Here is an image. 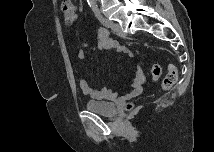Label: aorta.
Returning <instances> with one entry per match:
<instances>
[{
	"label": "aorta",
	"mask_w": 215,
	"mask_h": 152,
	"mask_svg": "<svg viewBox=\"0 0 215 152\" xmlns=\"http://www.w3.org/2000/svg\"><path fill=\"white\" fill-rule=\"evenodd\" d=\"M89 5H90L92 8H95V7H96V1H95V0H89Z\"/></svg>",
	"instance_id": "aorta-1"
}]
</instances>
